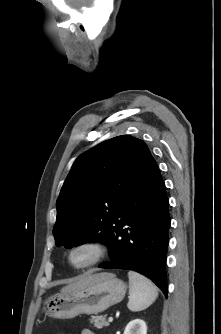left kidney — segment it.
<instances>
[{"label":"left kidney","mask_w":221,"mask_h":334,"mask_svg":"<svg viewBox=\"0 0 221 334\" xmlns=\"http://www.w3.org/2000/svg\"><path fill=\"white\" fill-rule=\"evenodd\" d=\"M124 334H147V325L142 319H134L127 324Z\"/></svg>","instance_id":"1"}]
</instances>
